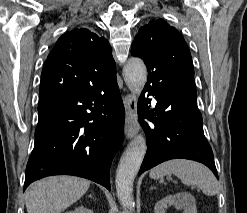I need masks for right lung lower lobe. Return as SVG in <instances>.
Instances as JSON below:
<instances>
[{"mask_svg":"<svg viewBox=\"0 0 247 213\" xmlns=\"http://www.w3.org/2000/svg\"><path fill=\"white\" fill-rule=\"evenodd\" d=\"M24 190L51 175H74L110 190V166L122 142L125 110L116 76L39 102Z\"/></svg>","mask_w":247,"mask_h":213,"instance_id":"1","label":"right lung lower lobe"}]
</instances>
